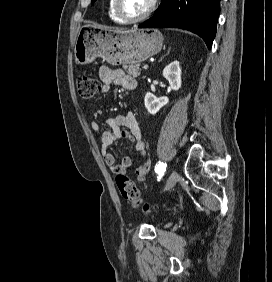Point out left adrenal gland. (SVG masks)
I'll return each instance as SVG.
<instances>
[{
    "label": "left adrenal gland",
    "mask_w": 272,
    "mask_h": 282,
    "mask_svg": "<svg viewBox=\"0 0 272 282\" xmlns=\"http://www.w3.org/2000/svg\"><path fill=\"white\" fill-rule=\"evenodd\" d=\"M168 53H169V50L167 51V53L164 56L161 57L160 60H162L166 55H168Z\"/></svg>",
    "instance_id": "a2214340"
}]
</instances>
